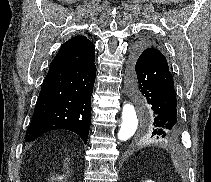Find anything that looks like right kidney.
I'll return each mask as SVG.
<instances>
[{
	"label": "right kidney",
	"instance_id": "right-kidney-1",
	"mask_svg": "<svg viewBox=\"0 0 211 182\" xmlns=\"http://www.w3.org/2000/svg\"><path fill=\"white\" fill-rule=\"evenodd\" d=\"M57 179L62 180V179H63V177H62V176H61V177H57Z\"/></svg>",
	"mask_w": 211,
	"mask_h": 182
}]
</instances>
